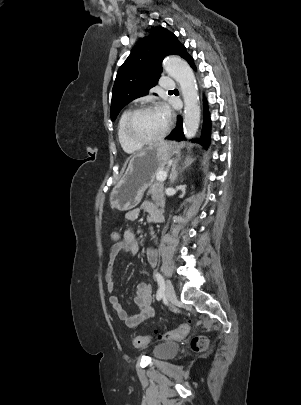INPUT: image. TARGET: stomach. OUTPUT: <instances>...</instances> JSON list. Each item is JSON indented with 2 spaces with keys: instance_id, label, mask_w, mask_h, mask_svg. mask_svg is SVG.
Returning a JSON list of instances; mask_svg holds the SVG:
<instances>
[{
  "instance_id": "obj_1",
  "label": "stomach",
  "mask_w": 301,
  "mask_h": 405,
  "mask_svg": "<svg viewBox=\"0 0 301 405\" xmlns=\"http://www.w3.org/2000/svg\"><path fill=\"white\" fill-rule=\"evenodd\" d=\"M176 153L175 144L161 141L134 155L110 194L112 207L119 211L136 207L144 191L154 183L158 170L163 169Z\"/></svg>"
}]
</instances>
